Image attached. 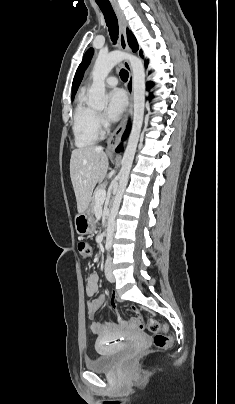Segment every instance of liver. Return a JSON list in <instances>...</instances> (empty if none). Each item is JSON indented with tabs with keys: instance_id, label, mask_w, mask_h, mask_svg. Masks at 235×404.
<instances>
[{
	"instance_id": "1",
	"label": "liver",
	"mask_w": 235,
	"mask_h": 404,
	"mask_svg": "<svg viewBox=\"0 0 235 404\" xmlns=\"http://www.w3.org/2000/svg\"><path fill=\"white\" fill-rule=\"evenodd\" d=\"M108 166V156L101 146L77 148L72 151L70 177L79 213L89 207L94 187L104 180Z\"/></svg>"
}]
</instances>
